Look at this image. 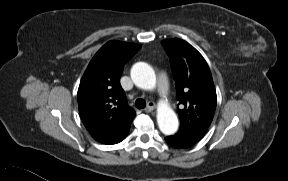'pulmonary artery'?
Listing matches in <instances>:
<instances>
[{"mask_svg":"<svg viewBox=\"0 0 288 181\" xmlns=\"http://www.w3.org/2000/svg\"><path fill=\"white\" fill-rule=\"evenodd\" d=\"M157 89L162 97H165L168 94V84L164 74L158 76Z\"/></svg>","mask_w":288,"mask_h":181,"instance_id":"obj_1","label":"pulmonary artery"}]
</instances>
